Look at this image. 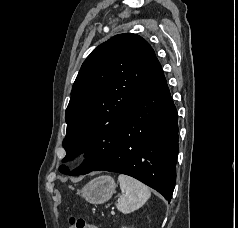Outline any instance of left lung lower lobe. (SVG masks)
I'll return each instance as SVG.
<instances>
[{
    "mask_svg": "<svg viewBox=\"0 0 238 228\" xmlns=\"http://www.w3.org/2000/svg\"><path fill=\"white\" fill-rule=\"evenodd\" d=\"M177 118L162 67L156 60L119 130L114 153L91 171L105 170L132 176L170 200L176 180Z\"/></svg>",
    "mask_w": 238,
    "mask_h": 228,
    "instance_id": "1",
    "label": "left lung lower lobe"
}]
</instances>
